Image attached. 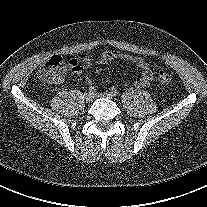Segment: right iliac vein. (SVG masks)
I'll use <instances>...</instances> for the list:
<instances>
[{
    "label": "right iliac vein",
    "mask_w": 207,
    "mask_h": 207,
    "mask_svg": "<svg viewBox=\"0 0 207 207\" xmlns=\"http://www.w3.org/2000/svg\"><path fill=\"white\" fill-rule=\"evenodd\" d=\"M93 98H94V95L90 92H87V93L84 94V99H85L86 102L92 101Z\"/></svg>",
    "instance_id": "63e3f726"
}]
</instances>
